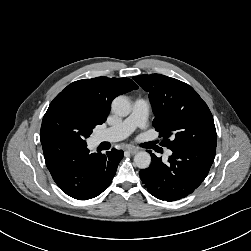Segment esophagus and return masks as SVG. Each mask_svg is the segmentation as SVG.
Instances as JSON below:
<instances>
[{"label":"esophagus","instance_id":"34e87169","mask_svg":"<svg viewBox=\"0 0 251 251\" xmlns=\"http://www.w3.org/2000/svg\"><path fill=\"white\" fill-rule=\"evenodd\" d=\"M126 151H128L130 154H136L139 151V149L136 147H127Z\"/></svg>","mask_w":251,"mask_h":251}]
</instances>
